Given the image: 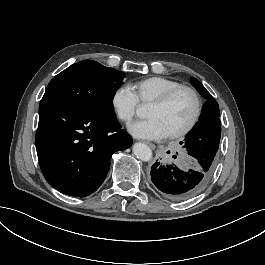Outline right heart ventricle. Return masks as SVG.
I'll list each match as a JSON object with an SVG mask.
<instances>
[{"label":"right heart ventricle","instance_id":"right-heart-ventricle-1","mask_svg":"<svg viewBox=\"0 0 265 265\" xmlns=\"http://www.w3.org/2000/svg\"><path fill=\"white\" fill-rule=\"evenodd\" d=\"M180 86H182L180 82L162 76H152L130 84L139 103L145 105L151 104L167 92Z\"/></svg>","mask_w":265,"mask_h":265}]
</instances>
